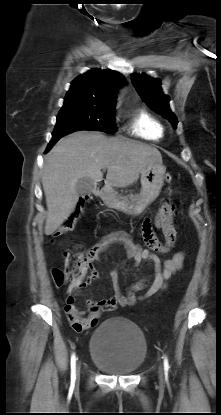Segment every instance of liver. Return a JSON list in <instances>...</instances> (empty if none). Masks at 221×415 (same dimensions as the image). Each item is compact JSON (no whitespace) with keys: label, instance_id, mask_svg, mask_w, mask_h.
<instances>
[{"label":"liver","instance_id":"obj_1","mask_svg":"<svg viewBox=\"0 0 221 415\" xmlns=\"http://www.w3.org/2000/svg\"><path fill=\"white\" fill-rule=\"evenodd\" d=\"M162 164L158 149L123 137H106L100 132L77 131L60 139L45 158L42 185L47 217L44 232L53 234L69 217L78 202V179L101 181L107 169L109 187L135 183L141 171Z\"/></svg>","mask_w":221,"mask_h":415}]
</instances>
